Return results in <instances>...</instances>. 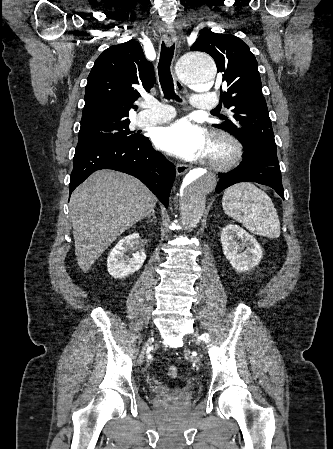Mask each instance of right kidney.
<instances>
[{
	"mask_svg": "<svg viewBox=\"0 0 333 449\" xmlns=\"http://www.w3.org/2000/svg\"><path fill=\"white\" fill-rule=\"evenodd\" d=\"M129 252L132 256H127ZM146 259L144 245L137 233L120 240L111 250L107 259V269L114 278H124L138 271Z\"/></svg>",
	"mask_w": 333,
	"mask_h": 449,
	"instance_id": "right-kidney-1",
	"label": "right kidney"
}]
</instances>
